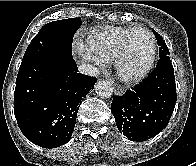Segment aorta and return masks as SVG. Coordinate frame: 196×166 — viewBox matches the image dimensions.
Wrapping results in <instances>:
<instances>
[{"mask_svg":"<svg viewBox=\"0 0 196 166\" xmlns=\"http://www.w3.org/2000/svg\"><path fill=\"white\" fill-rule=\"evenodd\" d=\"M95 91L101 98H110L112 96V87L109 81L99 80L95 84Z\"/></svg>","mask_w":196,"mask_h":166,"instance_id":"aorta-1","label":"aorta"}]
</instances>
